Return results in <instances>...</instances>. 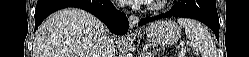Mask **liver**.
Listing matches in <instances>:
<instances>
[{
  "mask_svg": "<svg viewBox=\"0 0 249 57\" xmlns=\"http://www.w3.org/2000/svg\"><path fill=\"white\" fill-rule=\"evenodd\" d=\"M104 24L77 8L51 15L36 31L33 57H99Z\"/></svg>",
  "mask_w": 249,
  "mask_h": 57,
  "instance_id": "1",
  "label": "liver"
}]
</instances>
